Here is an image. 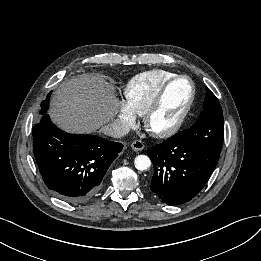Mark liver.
<instances>
[{"label": "liver", "instance_id": "obj_1", "mask_svg": "<svg viewBox=\"0 0 261 261\" xmlns=\"http://www.w3.org/2000/svg\"><path fill=\"white\" fill-rule=\"evenodd\" d=\"M118 106L113 87L102 76L82 74L60 84L50 115L67 132L92 133L113 119Z\"/></svg>", "mask_w": 261, "mask_h": 261}]
</instances>
